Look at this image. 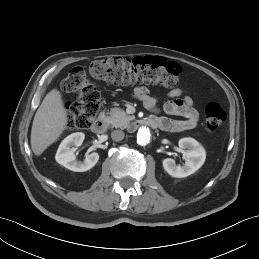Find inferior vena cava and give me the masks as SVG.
<instances>
[{"label": "inferior vena cava", "instance_id": "602c4592", "mask_svg": "<svg viewBox=\"0 0 259 259\" xmlns=\"http://www.w3.org/2000/svg\"><path fill=\"white\" fill-rule=\"evenodd\" d=\"M124 132L122 130H114L112 133H111V138L114 140V141H121L122 139H124Z\"/></svg>", "mask_w": 259, "mask_h": 259}]
</instances>
